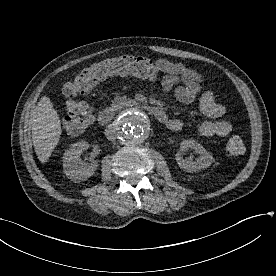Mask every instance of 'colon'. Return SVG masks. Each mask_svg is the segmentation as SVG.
Here are the masks:
<instances>
[{
	"instance_id": "colon-1",
	"label": "colon",
	"mask_w": 276,
	"mask_h": 276,
	"mask_svg": "<svg viewBox=\"0 0 276 276\" xmlns=\"http://www.w3.org/2000/svg\"><path fill=\"white\" fill-rule=\"evenodd\" d=\"M159 73L155 61L134 55H121L97 61L85 68L63 87L66 97V118L64 129L76 134L87 128L92 122L91 106L77 97L89 93L98 83L114 75H130L145 79H154ZM245 150L242 138L232 136L226 143L225 153L237 157Z\"/></svg>"
}]
</instances>
